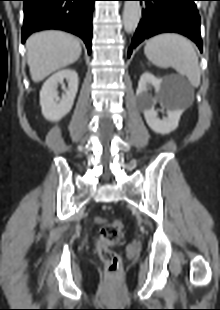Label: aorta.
Segmentation results:
<instances>
[{"instance_id": "obj_1", "label": "aorta", "mask_w": 220, "mask_h": 310, "mask_svg": "<svg viewBox=\"0 0 220 310\" xmlns=\"http://www.w3.org/2000/svg\"><path fill=\"white\" fill-rule=\"evenodd\" d=\"M141 17L139 1H125L123 10V25L127 33H132L138 26Z\"/></svg>"}]
</instances>
